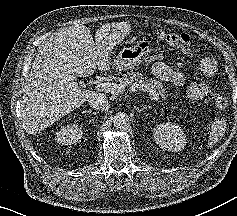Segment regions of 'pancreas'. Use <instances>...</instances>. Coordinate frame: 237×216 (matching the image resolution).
<instances>
[{
	"label": "pancreas",
	"instance_id": "cf45deb5",
	"mask_svg": "<svg viewBox=\"0 0 237 216\" xmlns=\"http://www.w3.org/2000/svg\"><path fill=\"white\" fill-rule=\"evenodd\" d=\"M122 81L128 86L132 85L133 82H136L139 84L141 90L151 91L150 94L158 93L162 98H165L166 89L163 88L162 83L151 78H144L139 72L130 71L123 74Z\"/></svg>",
	"mask_w": 237,
	"mask_h": 216
}]
</instances>
